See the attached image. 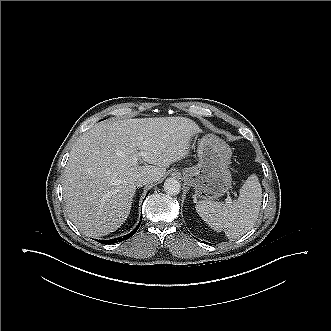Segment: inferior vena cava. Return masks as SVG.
Masks as SVG:
<instances>
[{
	"label": "inferior vena cava",
	"mask_w": 331,
	"mask_h": 331,
	"mask_svg": "<svg viewBox=\"0 0 331 331\" xmlns=\"http://www.w3.org/2000/svg\"><path fill=\"white\" fill-rule=\"evenodd\" d=\"M153 181V177L150 175H140L136 181L135 184L138 187H142L148 183H151Z\"/></svg>",
	"instance_id": "602c4592"
}]
</instances>
